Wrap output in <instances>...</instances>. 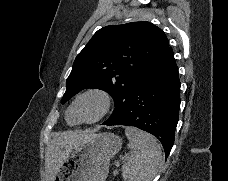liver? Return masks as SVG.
Masks as SVG:
<instances>
[{
  "instance_id": "1",
  "label": "liver",
  "mask_w": 228,
  "mask_h": 181,
  "mask_svg": "<svg viewBox=\"0 0 228 181\" xmlns=\"http://www.w3.org/2000/svg\"><path fill=\"white\" fill-rule=\"evenodd\" d=\"M94 135L95 131L54 133L53 141L47 145L45 153V169L48 181H54L74 145H83Z\"/></svg>"
}]
</instances>
